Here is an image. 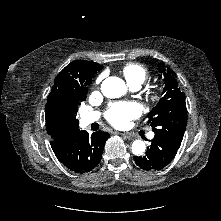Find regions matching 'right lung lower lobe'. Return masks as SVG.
I'll list each match as a JSON object with an SVG mask.
<instances>
[{"label":"right lung lower lobe","instance_id":"1","mask_svg":"<svg viewBox=\"0 0 221 221\" xmlns=\"http://www.w3.org/2000/svg\"><path fill=\"white\" fill-rule=\"evenodd\" d=\"M109 136L106 132L89 135L79 130L69 145L54 150V153L68 169L76 173L90 172L99 164Z\"/></svg>","mask_w":221,"mask_h":221}]
</instances>
